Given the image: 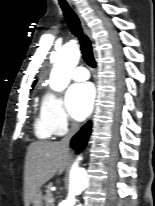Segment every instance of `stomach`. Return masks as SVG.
<instances>
[{
    "instance_id": "1",
    "label": "stomach",
    "mask_w": 155,
    "mask_h": 206,
    "mask_svg": "<svg viewBox=\"0 0 155 206\" xmlns=\"http://www.w3.org/2000/svg\"><path fill=\"white\" fill-rule=\"evenodd\" d=\"M33 206H42V193L39 191L32 200Z\"/></svg>"
}]
</instances>
